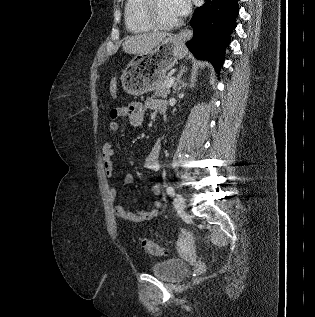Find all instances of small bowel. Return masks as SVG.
<instances>
[{
    "instance_id": "c3829d8e",
    "label": "small bowel",
    "mask_w": 315,
    "mask_h": 317,
    "mask_svg": "<svg viewBox=\"0 0 315 317\" xmlns=\"http://www.w3.org/2000/svg\"><path fill=\"white\" fill-rule=\"evenodd\" d=\"M148 109L157 111L160 114H164L166 111V102L161 99L148 98L144 102H132L128 105L116 106L110 110V123L108 124L109 132H115L118 130L119 125L117 120L120 117H128L130 124L133 127H139L143 124L145 112ZM161 150L160 141H156L150 152L145 158V168L157 172L160 170L161 165L159 162ZM102 160L104 164V170L107 177L111 178L114 173V150L112 142L105 141L102 150ZM134 183V177L131 174H127L123 179L124 185H131ZM152 193L154 195H159L162 190V185L156 183L152 186ZM117 191L115 188H111L109 191V196L112 201H115ZM162 207V202L158 199L153 201V206L148 211L131 212L127 210L123 205L115 204L114 211L117 217L123 219L127 222L136 223L139 226H143L145 222L155 218L160 208Z\"/></svg>"
}]
</instances>
